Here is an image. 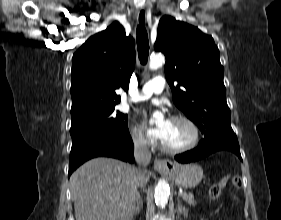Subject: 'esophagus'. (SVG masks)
I'll list each match as a JSON object with an SVG mask.
<instances>
[{
	"instance_id": "obj_1",
	"label": "esophagus",
	"mask_w": 281,
	"mask_h": 220,
	"mask_svg": "<svg viewBox=\"0 0 281 220\" xmlns=\"http://www.w3.org/2000/svg\"><path fill=\"white\" fill-rule=\"evenodd\" d=\"M137 22L145 26L147 22V14L145 9L141 8L137 13ZM174 168V163L169 159H156L154 161V169L160 173H168Z\"/></svg>"
}]
</instances>
